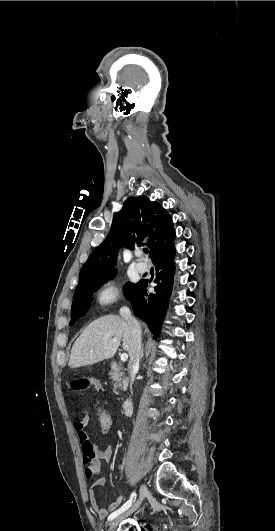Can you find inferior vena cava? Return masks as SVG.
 I'll return each instance as SVG.
<instances>
[{
	"label": "inferior vena cava",
	"instance_id": "obj_1",
	"mask_svg": "<svg viewBox=\"0 0 275 531\" xmlns=\"http://www.w3.org/2000/svg\"><path fill=\"white\" fill-rule=\"evenodd\" d=\"M120 315L124 317L125 321H127L131 327L132 337L129 351L130 361L128 363V369L130 373L131 385H133L135 375L139 369L140 353L142 347L141 327L138 321H136V319L130 315V311L127 309V307L120 309Z\"/></svg>",
	"mask_w": 275,
	"mask_h": 531
}]
</instances>
